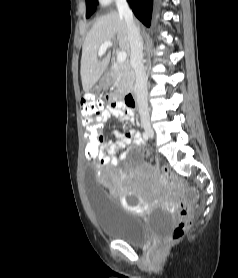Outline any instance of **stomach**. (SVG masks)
Returning <instances> with one entry per match:
<instances>
[{
    "label": "stomach",
    "mask_w": 238,
    "mask_h": 278,
    "mask_svg": "<svg viewBox=\"0 0 238 278\" xmlns=\"http://www.w3.org/2000/svg\"><path fill=\"white\" fill-rule=\"evenodd\" d=\"M114 81H115V77H114L113 73L108 71V72L104 73V75L102 76V78L100 80V83H99L100 88L107 89L113 85Z\"/></svg>",
    "instance_id": "0dacf381"
}]
</instances>
